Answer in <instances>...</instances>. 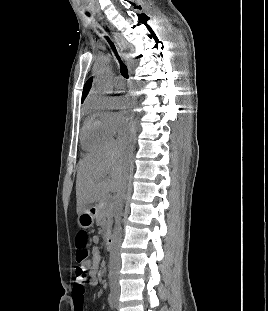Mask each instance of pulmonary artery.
<instances>
[{
  "mask_svg": "<svg viewBox=\"0 0 268 311\" xmlns=\"http://www.w3.org/2000/svg\"><path fill=\"white\" fill-rule=\"evenodd\" d=\"M115 86L119 89V88H122L123 86V83H122V80L121 78H118L116 83H115Z\"/></svg>",
  "mask_w": 268,
  "mask_h": 311,
  "instance_id": "e3ab8cb5",
  "label": "pulmonary artery"
}]
</instances>
